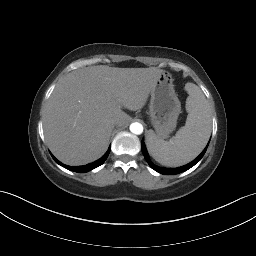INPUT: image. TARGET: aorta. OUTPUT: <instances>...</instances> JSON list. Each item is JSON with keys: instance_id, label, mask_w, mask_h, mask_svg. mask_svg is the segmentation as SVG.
<instances>
[{"instance_id": "obj_1", "label": "aorta", "mask_w": 256, "mask_h": 256, "mask_svg": "<svg viewBox=\"0 0 256 256\" xmlns=\"http://www.w3.org/2000/svg\"><path fill=\"white\" fill-rule=\"evenodd\" d=\"M130 131L133 134L140 135L143 132V126L138 122H134L130 125Z\"/></svg>"}]
</instances>
